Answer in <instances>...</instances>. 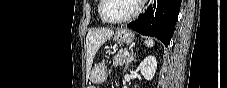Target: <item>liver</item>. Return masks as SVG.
I'll use <instances>...</instances> for the list:
<instances>
[{
	"instance_id": "6515ba94",
	"label": "liver",
	"mask_w": 227,
	"mask_h": 88,
	"mask_svg": "<svg viewBox=\"0 0 227 88\" xmlns=\"http://www.w3.org/2000/svg\"><path fill=\"white\" fill-rule=\"evenodd\" d=\"M113 34L114 31L110 29H94L88 32L86 37V52L87 62L90 67L99 48L105 43V41L111 38Z\"/></svg>"
}]
</instances>
